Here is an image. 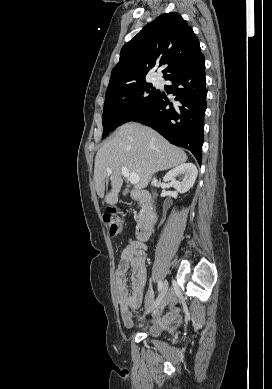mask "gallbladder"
Wrapping results in <instances>:
<instances>
[{
    "instance_id": "obj_1",
    "label": "gallbladder",
    "mask_w": 272,
    "mask_h": 389,
    "mask_svg": "<svg viewBox=\"0 0 272 389\" xmlns=\"http://www.w3.org/2000/svg\"><path fill=\"white\" fill-rule=\"evenodd\" d=\"M128 192H129L128 190H125V191L123 192V194H124V195H127Z\"/></svg>"
}]
</instances>
